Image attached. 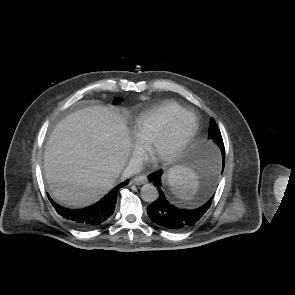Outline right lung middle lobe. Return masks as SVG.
Returning <instances> with one entry per match:
<instances>
[{
	"label": "right lung middle lobe",
	"instance_id": "1",
	"mask_svg": "<svg viewBox=\"0 0 295 295\" xmlns=\"http://www.w3.org/2000/svg\"><path fill=\"white\" fill-rule=\"evenodd\" d=\"M120 101V99H115L114 104H117Z\"/></svg>",
	"mask_w": 295,
	"mask_h": 295
}]
</instances>
